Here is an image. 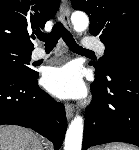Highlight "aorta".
I'll return each instance as SVG.
<instances>
[{"label": "aorta", "mask_w": 139, "mask_h": 150, "mask_svg": "<svg viewBox=\"0 0 139 150\" xmlns=\"http://www.w3.org/2000/svg\"><path fill=\"white\" fill-rule=\"evenodd\" d=\"M73 28L76 32H82L89 25V18L85 12L75 11L71 15ZM83 118L77 115L69 125L66 132L64 150H81L83 138Z\"/></svg>", "instance_id": "762f6f07"}]
</instances>
